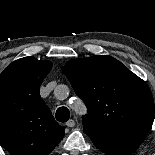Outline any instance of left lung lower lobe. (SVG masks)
<instances>
[{
  "label": "left lung lower lobe",
  "mask_w": 155,
  "mask_h": 155,
  "mask_svg": "<svg viewBox=\"0 0 155 155\" xmlns=\"http://www.w3.org/2000/svg\"><path fill=\"white\" fill-rule=\"evenodd\" d=\"M143 133L129 134L106 140H92L102 152L107 155H127L134 152L143 142Z\"/></svg>",
  "instance_id": "1"
}]
</instances>
